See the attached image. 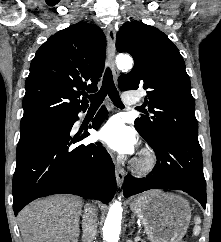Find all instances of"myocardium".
<instances>
[{
  "label": "myocardium",
  "instance_id": "obj_1",
  "mask_svg": "<svg viewBox=\"0 0 221 242\" xmlns=\"http://www.w3.org/2000/svg\"><path fill=\"white\" fill-rule=\"evenodd\" d=\"M156 164V156L151 149H143L139 156L135 159L133 165L140 174L150 172Z\"/></svg>",
  "mask_w": 221,
  "mask_h": 242
}]
</instances>
